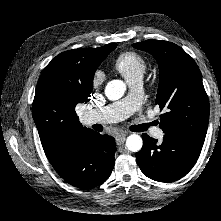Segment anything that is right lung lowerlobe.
Instances as JSON below:
<instances>
[{"mask_svg":"<svg viewBox=\"0 0 221 221\" xmlns=\"http://www.w3.org/2000/svg\"><path fill=\"white\" fill-rule=\"evenodd\" d=\"M115 150L113 137L92 131L74 134L47 157L67 183L86 189L109 178L115 164Z\"/></svg>","mask_w":221,"mask_h":221,"instance_id":"98d812e1","label":"right lung lower lobe"}]
</instances>
